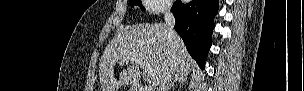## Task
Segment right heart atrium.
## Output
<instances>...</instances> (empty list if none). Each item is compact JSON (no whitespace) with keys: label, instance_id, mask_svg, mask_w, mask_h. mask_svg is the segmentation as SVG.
Listing matches in <instances>:
<instances>
[{"label":"right heart atrium","instance_id":"obj_1","mask_svg":"<svg viewBox=\"0 0 304 91\" xmlns=\"http://www.w3.org/2000/svg\"><path fill=\"white\" fill-rule=\"evenodd\" d=\"M145 5L147 10L152 13H161L168 9L167 0H146Z\"/></svg>","mask_w":304,"mask_h":91}]
</instances>
